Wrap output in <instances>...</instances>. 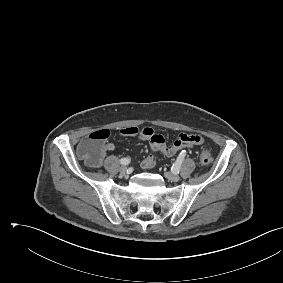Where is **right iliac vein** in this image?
Masks as SVG:
<instances>
[{
	"instance_id": "1",
	"label": "right iliac vein",
	"mask_w": 283,
	"mask_h": 283,
	"mask_svg": "<svg viewBox=\"0 0 283 283\" xmlns=\"http://www.w3.org/2000/svg\"><path fill=\"white\" fill-rule=\"evenodd\" d=\"M119 172L121 176L126 177L128 175V168L126 166H122Z\"/></svg>"
}]
</instances>
